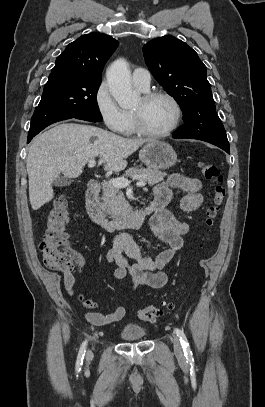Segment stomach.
Returning a JSON list of instances; mask_svg holds the SVG:
<instances>
[{
    "label": "stomach",
    "instance_id": "1",
    "mask_svg": "<svg viewBox=\"0 0 265 407\" xmlns=\"http://www.w3.org/2000/svg\"><path fill=\"white\" fill-rule=\"evenodd\" d=\"M139 159L150 169H168L176 164L177 154L168 143L152 140L141 148Z\"/></svg>",
    "mask_w": 265,
    "mask_h": 407
}]
</instances>
